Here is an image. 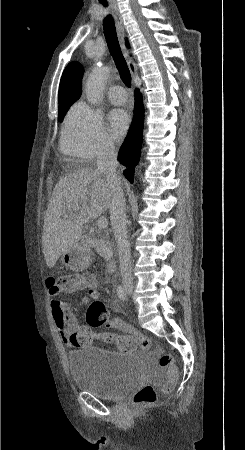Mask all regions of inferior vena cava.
I'll return each mask as SVG.
<instances>
[{
  "instance_id": "1",
  "label": "inferior vena cava",
  "mask_w": 245,
  "mask_h": 450,
  "mask_svg": "<svg viewBox=\"0 0 245 450\" xmlns=\"http://www.w3.org/2000/svg\"><path fill=\"white\" fill-rule=\"evenodd\" d=\"M97 170L103 173L111 188L110 220L118 246L120 271L123 284H133L130 245L126 228V200L121 181L116 173L117 153L111 141H105L97 155Z\"/></svg>"
}]
</instances>
